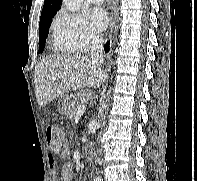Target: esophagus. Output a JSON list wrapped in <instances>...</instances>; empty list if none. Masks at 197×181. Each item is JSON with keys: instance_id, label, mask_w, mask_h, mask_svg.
I'll return each mask as SVG.
<instances>
[{"instance_id": "1", "label": "esophagus", "mask_w": 197, "mask_h": 181, "mask_svg": "<svg viewBox=\"0 0 197 181\" xmlns=\"http://www.w3.org/2000/svg\"><path fill=\"white\" fill-rule=\"evenodd\" d=\"M115 20V19H114ZM115 26H116V23H115V21H113V28H115Z\"/></svg>"}]
</instances>
